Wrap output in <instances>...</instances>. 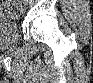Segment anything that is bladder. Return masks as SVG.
Returning a JSON list of instances; mask_svg holds the SVG:
<instances>
[{
    "label": "bladder",
    "mask_w": 93,
    "mask_h": 83,
    "mask_svg": "<svg viewBox=\"0 0 93 83\" xmlns=\"http://www.w3.org/2000/svg\"><path fill=\"white\" fill-rule=\"evenodd\" d=\"M13 35L11 30H5L1 33V40L5 41L6 39H8L9 37H11Z\"/></svg>",
    "instance_id": "1"
}]
</instances>
